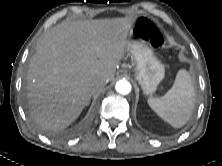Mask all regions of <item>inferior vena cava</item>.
Returning <instances> with one entry per match:
<instances>
[{
  "label": "inferior vena cava",
  "instance_id": "obj_1",
  "mask_svg": "<svg viewBox=\"0 0 222 166\" xmlns=\"http://www.w3.org/2000/svg\"><path fill=\"white\" fill-rule=\"evenodd\" d=\"M106 81L105 80H102V79H99V80H96L93 85H92V90L93 92H99V91H102L106 85Z\"/></svg>",
  "mask_w": 222,
  "mask_h": 166
}]
</instances>
